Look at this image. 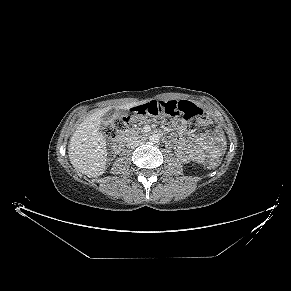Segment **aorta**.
<instances>
[{"instance_id": "762f6f07", "label": "aorta", "mask_w": 291, "mask_h": 291, "mask_svg": "<svg viewBox=\"0 0 291 291\" xmlns=\"http://www.w3.org/2000/svg\"><path fill=\"white\" fill-rule=\"evenodd\" d=\"M159 140H160V137L158 134H152L149 136V142L151 144H157V143H159Z\"/></svg>"}]
</instances>
